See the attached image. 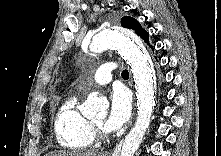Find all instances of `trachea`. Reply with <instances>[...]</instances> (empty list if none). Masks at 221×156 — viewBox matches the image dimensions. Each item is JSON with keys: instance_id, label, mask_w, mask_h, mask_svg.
<instances>
[{"instance_id": "obj_1", "label": "trachea", "mask_w": 221, "mask_h": 156, "mask_svg": "<svg viewBox=\"0 0 221 156\" xmlns=\"http://www.w3.org/2000/svg\"><path fill=\"white\" fill-rule=\"evenodd\" d=\"M121 76L123 78H128L129 77V72L125 69V70L122 71Z\"/></svg>"}]
</instances>
